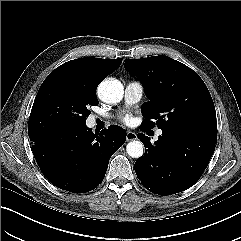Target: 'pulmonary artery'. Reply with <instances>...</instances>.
I'll list each match as a JSON object with an SVG mask.
<instances>
[{"instance_id": "e3ab8cb5", "label": "pulmonary artery", "mask_w": 241, "mask_h": 241, "mask_svg": "<svg viewBox=\"0 0 241 241\" xmlns=\"http://www.w3.org/2000/svg\"><path fill=\"white\" fill-rule=\"evenodd\" d=\"M144 87L138 81H130L127 83L125 87V103L127 105H132L137 103L143 96ZM96 120L95 116L91 117V121L94 122ZM162 134L161 130L156 132V137H159Z\"/></svg>"}]
</instances>
